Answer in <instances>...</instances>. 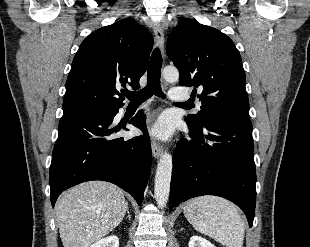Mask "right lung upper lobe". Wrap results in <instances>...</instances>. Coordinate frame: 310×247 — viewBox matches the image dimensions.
<instances>
[{
  "label": "right lung upper lobe",
  "instance_id": "right-lung-upper-lobe-1",
  "mask_svg": "<svg viewBox=\"0 0 310 247\" xmlns=\"http://www.w3.org/2000/svg\"><path fill=\"white\" fill-rule=\"evenodd\" d=\"M153 46L152 34L133 19L91 33L81 43L66 82L63 114L81 109H119L118 88L139 89Z\"/></svg>",
  "mask_w": 310,
  "mask_h": 247
}]
</instances>
